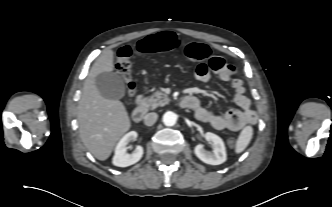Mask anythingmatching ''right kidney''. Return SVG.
Segmentation results:
<instances>
[{"label": "right kidney", "mask_w": 332, "mask_h": 207, "mask_svg": "<svg viewBox=\"0 0 332 207\" xmlns=\"http://www.w3.org/2000/svg\"><path fill=\"white\" fill-rule=\"evenodd\" d=\"M137 136L136 131H130L121 138L115 148V154L112 160L113 165L127 167L137 163L142 158L144 150L141 146H137L132 153L127 152V145L131 141L136 140Z\"/></svg>", "instance_id": "ca27d5eb"}]
</instances>
